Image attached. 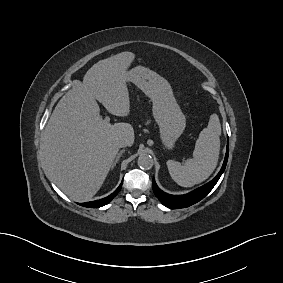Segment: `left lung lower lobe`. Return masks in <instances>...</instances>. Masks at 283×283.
Segmentation results:
<instances>
[{"label":"left lung lower lobe","mask_w":283,"mask_h":283,"mask_svg":"<svg viewBox=\"0 0 283 283\" xmlns=\"http://www.w3.org/2000/svg\"><path fill=\"white\" fill-rule=\"evenodd\" d=\"M228 153H229V141H227V151L221 170L213 180L201 186L200 188H197L194 191L185 195H170L159 189L153 178L152 186H153L154 194L164 206L171 209L186 208L199 202L213 189V187L216 185L219 178L221 177L222 173L224 172L228 160Z\"/></svg>","instance_id":"0a47b994"}]
</instances>
